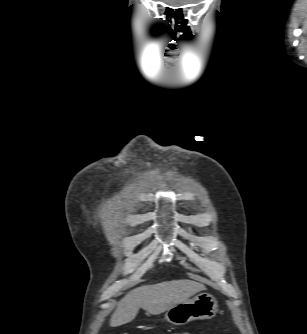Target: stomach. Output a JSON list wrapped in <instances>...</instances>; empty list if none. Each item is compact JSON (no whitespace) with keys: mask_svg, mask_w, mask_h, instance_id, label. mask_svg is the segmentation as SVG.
I'll use <instances>...</instances> for the list:
<instances>
[{"mask_svg":"<svg viewBox=\"0 0 307 334\" xmlns=\"http://www.w3.org/2000/svg\"><path fill=\"white\" fill-rule=\"evenodd\" d=\"M217 307L216 299L211 294L204 292L174 305L166 311L164 318L173 325H185L193 320L214 317Z\"/></svg>","mask_w":307,"mask_h":334,"instance_id":"1","label":"stomach"}]
</instances>
